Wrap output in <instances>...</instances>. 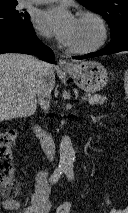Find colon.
<instances>
[{
  "label": "colon",
  "mask_w": 128,
  "mask_h": 213,
  "mask_svg": "<svg viewBox=\"0 0 128 213\" xmlns=\"http://www.w3.org/2000/svg\"><path fill=\"white\" fill-rule=\"evenodd\" d=\"M124 85L126 100L128 101V70L125 71ZM17 132L13 129L0 133V194L7 199L15 197L19 192V183L15 179V170L12 163V148L15 145ZM71 204L66 202L60 205L56 213H70Z\"/></svg>",
  "instance_id": "colon-1"
}]
</instances>
